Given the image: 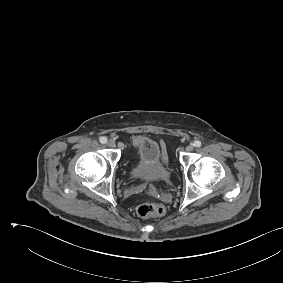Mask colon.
<instances>
[{
  "instance_id": "colon-1",
  "label": "colon",
  "mask_w": 283,
  "mask_h": 283,
  "mask_svg": "<svg viewBox=\"0 0 283 283\" xmlns=\"http://www.w3.org/2000/svg\"><path fill=\"white\" fill-rule=\"evenodd\" d=\"M165 212L166 208L164 205L153 201H145L137 208V214L142 218L159 217L164 215Z\"/></svg>"
}]
</instances>
